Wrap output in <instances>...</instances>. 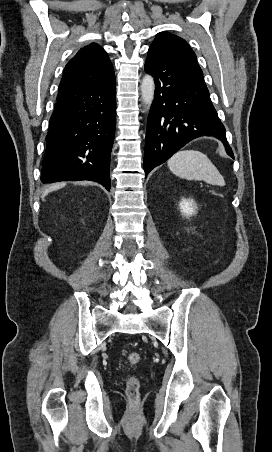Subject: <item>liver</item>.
I'll return each mask as SVG.
<instances>
[{
  "label": "liver",
  "instance_id": "6515ba94",
  "mask_svg": "<svg viewBox=\"0 0 272 452\" xmlns=\"http://www.w3.org/2000/svg\"><path fill=\"white\" fill-rule=\"evenodd\" d=\"M63 186H65V183H60V184L53 185V186H51L50 188H48V189L45 191L44 195L48 194V193L51 192V191L57 190V189H59V188H61V187H63Z\"/></svg>",
  "mask_w": 272,
  "mask_h": 452
}]
</instances>
